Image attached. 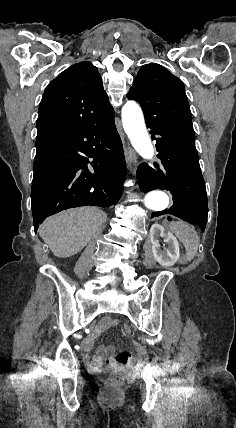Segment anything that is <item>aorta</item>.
<instances>
[{
  "label": "aorta",
  "mask_w": 236,
  "mask_h": 428,
  "mask_svg": "<svg viewBox=\"0 0 236 428\" xmlns=\"http://www.w3.org/2000/svg\"><path fill=\"white\" fill-rule=\"evenodd\" d=\"M122 123L134 149L142 158L151 160L154 148L146 130L143 112L137 103L128 101L123 106ZM144 204L148 209L160 212L168 207L169 197L163 191H151L146 194Z\"/></svg>",
  "instance_id": "aorta-1"
}]
</instances>
